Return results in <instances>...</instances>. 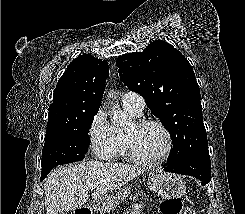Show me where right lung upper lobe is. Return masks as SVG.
<instances>
[{"mask_svg":"<svg viewBox=\"0 0 245 214\" xmlns=\"http://www.w3.org/2000/svg\"><path fill=\"white\" fill-rule=\"evenodd\" d=\"M108 73L105 60L89 54L74 59L54 90L46 134L73 127L82 115L98 111Z\"/></svg>","mask_w":245,"mask_h":214,"instance_id":"right-lung-upper-lobe-1","label":"right lung upper lobe"}]
</instances>
